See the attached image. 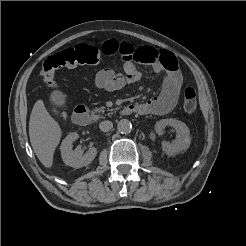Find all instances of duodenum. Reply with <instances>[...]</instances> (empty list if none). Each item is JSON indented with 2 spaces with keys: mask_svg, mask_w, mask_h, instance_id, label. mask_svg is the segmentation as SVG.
Wrapping results in <instances>:
<instances>
[{
  "mask_svg": "<svg viewBox=\"0 0 246 246\" xmlns=\"http://www.w3.org/2000/svg\"><path fill=\"white\" fill-rule=\"evenodd\" d=\"M139 109L140 107L138 104H130L124 108L123 113L126 115L132 113H138ZM91 119H92V114L90 110L84 105L77 106L72 115V120L74 124L78 126L88 125L91 122Z\"/></svg>",
  "mask_w": 246,
  "mask_h": 246,
  "instance_id": "duodenum-1",
  "label": "duodenum"
}]
</instances>
